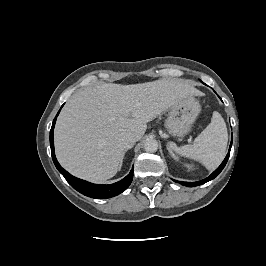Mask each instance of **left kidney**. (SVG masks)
<instances>
[{
	"instance_id": "5707ae66",
	"label": "left kidney",
	"mask_w": 266,
	"mask_h": 266,
	"mask_svg": "<svg viewBox=\"0 0 266 266\" xmlns=\"http://www.w3.org/2000/svg\"><path fill=\"white\" fill-rule=\"evenodd\" d=\"M185 166H186V167H188V168H190V166H189V165H187V164H186Z\"/></svg>"
}]
</instances>
